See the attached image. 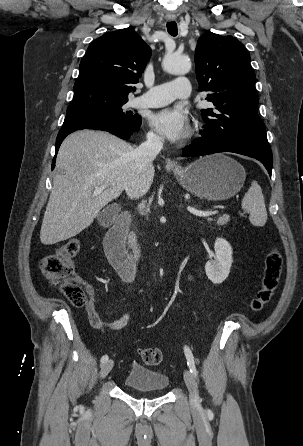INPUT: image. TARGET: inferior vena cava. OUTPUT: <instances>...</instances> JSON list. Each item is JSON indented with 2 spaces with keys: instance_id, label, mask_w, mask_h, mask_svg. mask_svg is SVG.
<instances>
[{
  "instance_id": "obj_1",
  "label": "inferior vena cava",
  "mask_w": 303,
  "mask_h": 446,
  "mask_svg": "<svg viewBox=\"0 0 303 446\" xmlns=\"http://www.w3.org/2000/svg\"><path fill=\"white\" fill-rule=\"evenodd\" d=\"M162 148L163 140L159 136L149 133L147 140L134 150L137 172L141 173L148 164H151Z\"/></svg>"
}]
</instances>
